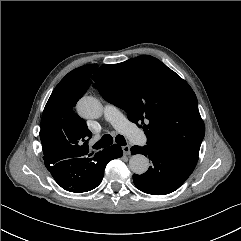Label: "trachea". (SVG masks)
I'll return each instance as SVG.
<instances>
[{
    "label": "trachea",
    "mask_w": 241,
    "mask_h": 241,
    "mask_svg": "<svg viewBox=\"0 0 241 241\" xmlns=\"http://www.w3.org/2000/svg\"><path fill=\"white\" fill-rule=\"evenodd\" d=\"M115 141L117 144H119L121 146L126 145V140H125L124 136H122V135H117L115 138ZM112 143H113L112 136L109 134H106L93 146V148L94 149L105 148L107 146H110Z\"/></svg>",
    "instance_id": "1"
}]
</instances>
